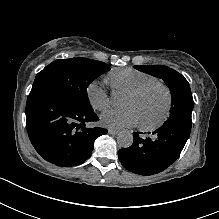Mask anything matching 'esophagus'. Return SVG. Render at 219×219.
I'll list each match as a JSON object with an SVG mask.
<instances>
[{"label":"esophagus","mask_w":219,"mask_h":219,"mask_svg":"<svg viewBox=\"0 0 219 219\" xmlns=\"http://www.w3.org/2000/svg\"><path fill=\"white\" fill-rule=\"evenodd\" d=\"M109 134H111V135H117V134H119V130H115V129H109Z\"/></svg>","instance_id":"34e87169"}]
</instances>
